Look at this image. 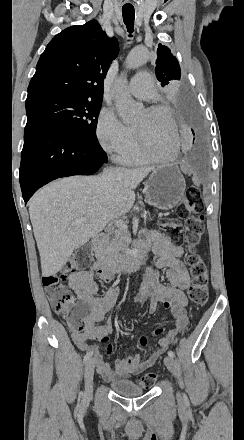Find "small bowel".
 Segmentation results:
<instances>
[{"instance_id": "obj_1", "label": "small bowel", "mask_w": 244, "mask_h": 440, "mask_svg": "<svg viewBox=\"0 0 244 440\" xmlns=\"http://www.w3.org/2000/svg\"><path fill=\"white\" fill-rule=\"evenodd\" d=\"M141 245L146 249L152 247L156 257L148 267L138 294L134 301L139 304L149 302L148 311L154 313L159 305L171 310L175 326L164 334L151 353L143 358L135 354L117 360L113 365L104 361V357L111 356L113 344L109 334L113 329L111 319L105 320L119 298L120 292L112 287L103 296H96L99 286L94 282V276H99L105 284L114 279L112 272L108 271L101 263H94L85 269L75 271L70 275L69 285L79 300H84L92 308L90 327H86L85 338H72L80 351L93 350L94 357L90 360L97 372L106 381H118L137 375L152 366L156 359L174 341L175 337L184 331L189 324L186 306L187 297L184 293L191 283V278L184 266L181 257L184 250L175 245L163 234L156 230H145L140 234ZM164 270V276L169 282L165 285L160 280L159 270ZM102 324H97L104 321ZM163 328L158 327L152 331L153 335H161ZM142 339V338H141ZM91 342H94L92 344Z\"/></svg>"}]
</instances>
